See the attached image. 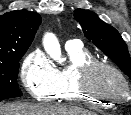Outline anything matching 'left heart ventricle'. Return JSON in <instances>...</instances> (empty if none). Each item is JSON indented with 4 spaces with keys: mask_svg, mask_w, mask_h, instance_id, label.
<instances>
[{
    "mask_svg": "<svg viewBox=\"0 0 131 115\" xmlns=\"http://www.w3.org/2000/svg\"><path fill=\"white\" fill-rule=\"evenodd\" d=\"M92 84L97 91L103 94L114 97L125 96V87L122 81L108 70H98L93 76Z\"/></svg>",
    "mask_w": 131,
    "mask_h": 115,
    "instance_id": "left-heart-ventricle-1",
    "label": "left heart ventricle"
}]
</instances>
